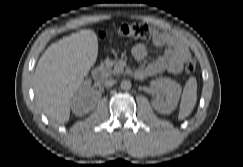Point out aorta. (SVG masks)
I'll return each instance as SVG.
<instances>
[{
	"instance_id": "1",
	"label": "aorta",
	"mask_w": 243,
	"mask_h": 167,
	"mask_svg": "<svg viewBox=\"0 0 243 167\" xmlns=\"http://www.w3.org/2000/svg\"><path fill=\"white\" fill-rule=\"evenodd\" d=\"M131 86H132V84H131V82L129 80H123L120 83V88L122 90H130Z\"/></svg>"
}]
</instances>
